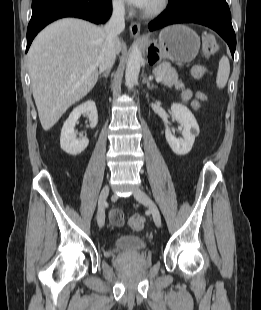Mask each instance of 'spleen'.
Returning a JSON list of instances; mask_svg holds the SVG:
<instances>
[{
    "label": "spleen",
    "instance_id": "spleen-1",
    "mask_svg": "<svg viewBox=\"0 0 261 310\" xmlns=\"http://www.w3.org/2000/svg\"><path fill=\"white\" fill-rule=\"evenodd\" d=\"M230 74V64L227 57H222L219 62L216 85L219 89H223L228 81Z\"/></svg>",
    "mask_w": 261,
    "mask_h": 310
}]
</instances>
